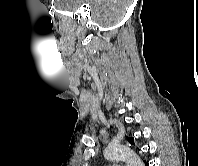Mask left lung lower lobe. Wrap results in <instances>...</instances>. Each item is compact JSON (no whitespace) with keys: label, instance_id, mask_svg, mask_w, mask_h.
Wrapping results in <instances>:
<instances>
[{"label":"left lung lower lobe","instance_id":"0a47b994","mask_svg":"<svg viewBox=\"0 0 198 166\" xmlns=\"http://www.w3.org/2000/svg\"><path fill=\"white\" fill-rule=\"evenodd\" d=\"M145 166H149V163L148 162H145Z\"/></svg>","mask_w":198,"mask_h":166}]
</instances>
